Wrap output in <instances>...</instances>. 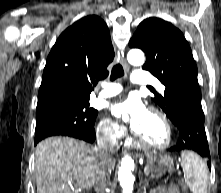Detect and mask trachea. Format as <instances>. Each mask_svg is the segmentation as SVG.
<instances>
[{"mask_svg":"<svg viewBox=\"0 0 221 193\" xmlns=\"http://www.w3.org/2000/svg\"><path fill=\"white\" fill-rule=\"evenodd\" d=\"M124 75V70L123 67L120 64H116L113 68H112V72H111V76H110V80L114 81L115 79L122 77ZM149 89H153L152 87H149Z\"/></svg>","mask_w":221,"mask_h":193,"instance_id":"trachea-1","label":"trachea"}]
</instances>
